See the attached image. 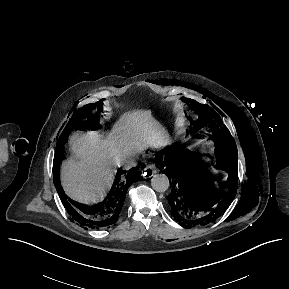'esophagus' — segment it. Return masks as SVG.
Segmentation results:
<instances>
[{
    "label": "esophagus",
    "instance_id": "1",
    "mask_svg": "<svg viewBox=\"0 0 289 289\" xmlns=\"http://www.w3.org/2000/svg\"><path fill=\"white\" fill-rule=\"evenodd\" d=\"M157 172V168L155 164H148L144 169L143 176L145 178H151Z\"/></svg>",
    "mask_w": 289,
    "mask_h": 289
}]
</instances>
